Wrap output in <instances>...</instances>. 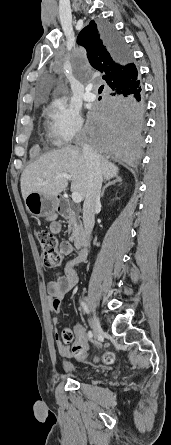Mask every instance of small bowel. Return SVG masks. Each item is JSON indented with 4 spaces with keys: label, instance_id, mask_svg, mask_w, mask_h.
Here are the masks:
<instances>
[{
    "label": "small bowel",
    "instance_id": "1",
    "mask_svg": "<svg viewBox=\"0 0 171 445\" xmlns=\"http://www.w3.org/2000/svg\"><path fill=\"white\" fill-rule=\"evenodd\" d=\"M50 231L52 234H59L61 232V225L59 223H52L50 225ZM59 251L62 255H69L74 251L73 245L69 241H63L60 244ZM87 258V252L81 250L77 256L68 260L63 269V275L56 280L50 281L47 285L48 289V303L51 310L55 313L52 318L54 325L59 323L58 315L62 311V299L65 295L73 289L79 282V276L77 273V265L84 262ZM75 344H81L84 348H87V335L85 329L81 325L74 327ZM57 349L61 356L71 358L74 356L71 348L67 345L57 341Z\"/></svg>",
    "mask_w": 171,
    "mask_h": 445
}]
</instances>
